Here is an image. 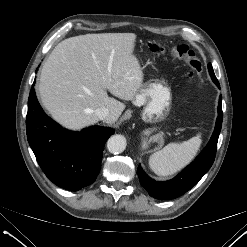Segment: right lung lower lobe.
Wrapping results in <instances>:
<instances>
[{
  "instance_id": "1",
  "label": "right lung lower lobe",
  "mask_w": 247,
  "mask_h": 247,
  "mask_svg": "<svg viewBox=\"0 0 247 247\" xmlns=\"http://www.w3.org/2000/svg\"><path fill=\"white\" fill-rule=\"evenodd\" d=\"M28 142L48 179L69 191L92 184L101 168L105 142L114 129L93 126L71 132L49 118L40 107L34 88L26 116Z\"/></svg>"
}]
</instances>
